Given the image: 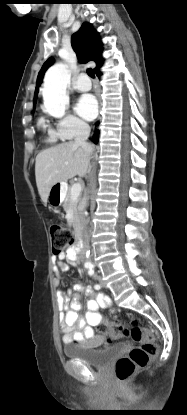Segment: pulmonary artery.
<instances>
[{
  "mask_svg": "<svg viewBox=\"0 0 187 415\" xmlns=\"http://www.w3.org/2000/svg\"><path fill=\"white\" fill-rule=\"evenodd\" d=\"M74 88L77 91L84 92L91 89V81L86 74H80L74 83Z\"/></svg>",
  "mask_w": 187,
  "mask_h": 415,
  "instance_id": "e3ab8cb5",
  "label": "pulmonary artery"
}]
</instances>
